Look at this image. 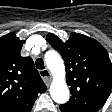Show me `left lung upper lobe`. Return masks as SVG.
Masks as SVG:
<instances>
[{"mask_svg":"<svg viewBox=\"0 0 112 112\" xmlns=\"http://www.w3.org/2000/svg\"><path fill=\"white\" fill-rule=\"evenodd\" d=\"M46 38L64 59L67 84L72 94L60 109L98 112L112 88V63L104 47L95 39L74 32L66 42L54 34H48Z\"/></svg>","mask_w":112,"mask_h":112,"instance_id":"left-lung-upper-lobe-1","label":"left lung upper lobe"}]
</instances>
